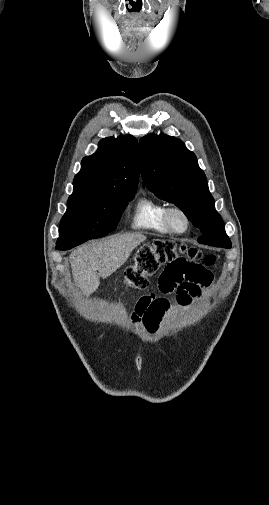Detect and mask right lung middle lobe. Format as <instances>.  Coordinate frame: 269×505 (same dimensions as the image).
Returning <instances> with one entry per match:
<instances>
[{
  "mask_svg": "<svg viewBox=\"0 0 269 505\" xmlns=\"http://www.w3.org/2000/svg\"><path fill=\"white\" fill-rule=\"evenodd\" d=\"M131 194H72L61 219L56 249L68 250L114 231Z\"/></svg>",
  "mask_w": 269,
  "mask_h": 505,
  "instance_id": "1",
  "label": "right lung middle lobe"
}]
</instances>
